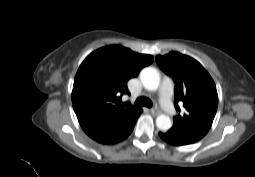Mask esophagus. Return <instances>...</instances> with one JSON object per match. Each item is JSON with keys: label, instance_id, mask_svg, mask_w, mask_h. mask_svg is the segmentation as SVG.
<instances>
[{"label": "esophagus", "instance_id": "1", "mask_svg": "<svg viewBox=\"0 0 255 177\" xmlns=\"http://www.w3.org/2000/svg\"><path fill=\"white\" fill-rule=\"evenodd\" d=\"M151 113L153 114V115H159L160 113H161V111H160V109L158 108V107H154V108H152L151 110Z\"/></svg>", "mask_w": 255, "mask_h": 177}]
</instances>
